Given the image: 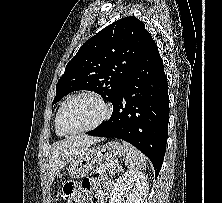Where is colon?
Here are the masks:
<instances>
[{
    "mask_svg": "<svg viewBox=\"0 0 222 203\" xmlns=\"http://www.w3.org/2000/svg\"><path fill=\"white\" fill-rule=\"evenodd\" d=\"M74 194V185L71 183H66L63 187L58 190L57 197L67 203H72V197Z\"/></svg>",
    "mask_w": 222,
    "mask_h": 203,
    "instance_id": "5ec220e1",
    "label": "colon"
}]
</instances>
